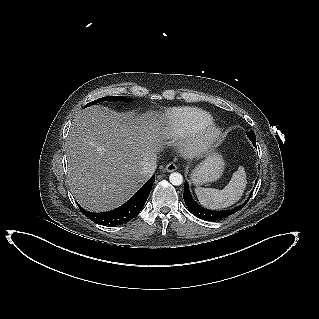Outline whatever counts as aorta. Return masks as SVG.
Instances as JSON below:
<instances>
[{
	"label": "aorta",
	"instance_id": "1",
	"mask_svg": "<svg viewBox=\"0 0 319 319\" xmlns=\"http://www.w3.org/2000/svg\"><path fill=\"white\" fill-rule=\"evenodd\" d=\"M169 181L175 186H179L183 183V176L178 172H173L169 176Z\"/></svg>",
	"mask_w": 319,
	"mask_h": 319
}]
</instances>
